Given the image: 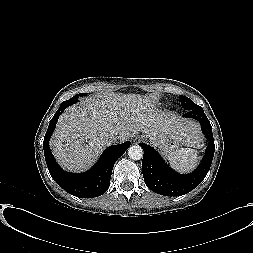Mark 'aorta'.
Instances as JSON below:
<instances>
[{
	"mask_svg": "<svg viewBox=\"0 0 253 253\" xmlns=\"http://www.w3.org/2000/svg\"><path fill=\"white\" fill-rule=\"evenodd\" d=\"M143 149L139 145H133L128 149V155L132 160H140L143 157Z\"/></svg>",
	"mask_w": 253,
	"mask_h": 253,
	"instance_id": "1",
	"label": "aorta"
}]
</instances>
